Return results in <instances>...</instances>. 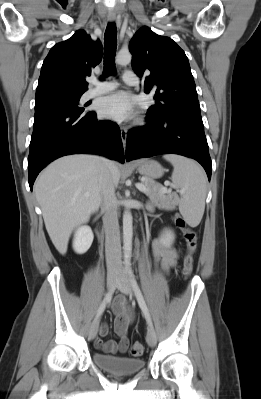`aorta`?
I'll return each mask as SVG.
<instances>
[{
  "label": "aorta",
  "mask_w": 261,
  "mask_h": 399,
  "mask_svg": "<svg viewBox=\"0 0 261 399\" xmlns=\"http://www.w3.org/2000/svg\"><path fill=\"white\" fill-rule=\"evenodd\" d=\"M132 56L129 52L120 51L116 56V62L119 65H127L131 62ZM132 237H133V218L130 208L126 205L123 214V250L125 263L129 264L132 251Z\"/></svg>",
  "instance_id": "762f6f07"
}]
</instances>
